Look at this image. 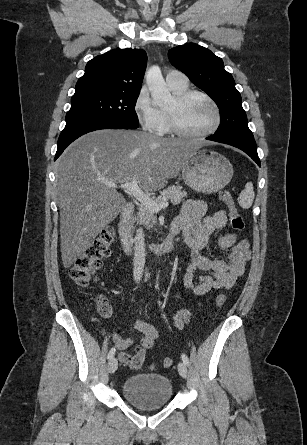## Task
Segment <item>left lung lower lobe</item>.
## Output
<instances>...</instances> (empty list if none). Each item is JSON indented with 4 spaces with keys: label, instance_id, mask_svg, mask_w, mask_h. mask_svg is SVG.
Masks as SVG:
<instances>
[{
    "label": "left lung lower lobe",
    "instance_id": "obj_1",
    "mask_svg": "<svg viewBox=\"0 0 307 445\" xmlns=\"http://www.w3.org/2000/svg\"><path fill=\"white\" fill-rule=\"evenodd\" d=\"M206 139L229 144L231 146H234L236 148L241 149L245 153H247L259 166L260 159L257 154V147L256 142L253 137H246V136H210Z\"/></svg>",
    "mask_w": 307,
    "mask_h": 445
}]
</instances>
